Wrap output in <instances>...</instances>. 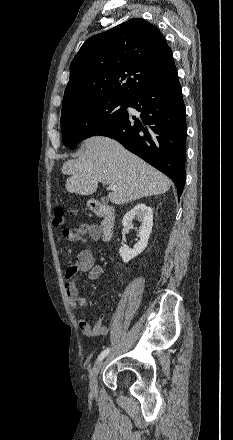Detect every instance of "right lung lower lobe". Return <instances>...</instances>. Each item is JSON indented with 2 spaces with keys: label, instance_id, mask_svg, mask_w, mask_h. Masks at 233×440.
Here are the masks:
<instances>
[{
  "label": "right lung lower lobe",
  "instance_id": "98d812e1",
  "mask_svg": "<svg viewBox=\"0 0 233 440\" xmlns=\"http://www.w3.org/2000/svg\"><path fill=\"white\" fill-rule=\"evenodd\" d=\"M127 106L141 112V121L126 110L99 135L119 141L166 174L175 182L180 197L185 184L187 126L177 70L136 91Z\"/></svg>",
  "mask_w": 233,
  "mask_h": 440
}]
</instances>
